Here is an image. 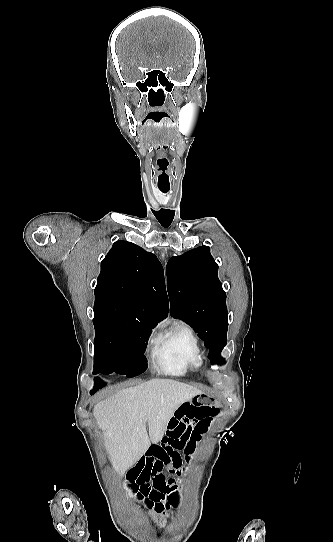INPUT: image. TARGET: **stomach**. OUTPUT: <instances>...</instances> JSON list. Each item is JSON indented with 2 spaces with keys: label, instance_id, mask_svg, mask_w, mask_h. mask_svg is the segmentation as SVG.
I'll list each match as a JSON object with an SVG mask.
<instances>
[{
  "label": "stomach",
  "instance_id": "stomach-1",
  "mask_svg": "<svg viewBox=\"0 0 333 542\" xmlns=\"http://www.w3.org/2000/svg\"><path fill=\"white\" fill-rule=\"evenodd\" d=\"M208 398L209 396H207V394H200V396L189 397L187 400H202L203 404H206Z\"/></svg>",
  "mask_w": 333,
  "mask_h": 542
}]
</instances>
